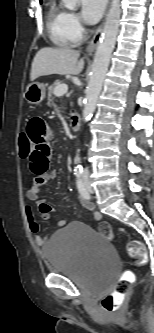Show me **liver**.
<instances>
[{
    "instance_id": "1",
    "label": "liver",
    "mask_w": 154,
    "mask_h": 333,
    "mask_svg": "<svg viewBox=\"0 0 154 333\" xmlns=\"http://www.w3.org/2000/svg\"><path fill=\"white\" fill-rule=\"evenodd\" d=\"M80 53L68 47H44L35 55L30 79L34 81L38 77L52 74L78 75L84 68V58Z\"/></svg>"
}]
</instances>
